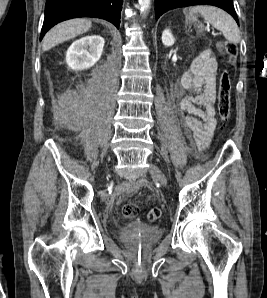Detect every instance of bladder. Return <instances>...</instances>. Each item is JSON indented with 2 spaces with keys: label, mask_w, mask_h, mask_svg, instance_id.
<instances>
[{
  "label": "bladder",
  "mask_w": 267,
  "mask_h": 298,
  "mask_svg": "<svg viewBox=\"0 0 267 298\" xmlns=\"http://www.w3.org/2000/svg\"><path fill=\"white\" fill-rule=\"evenodd\" d=\"M162 233L159 227L128 225L121 229L120 238L127 244L148 248L159 241Z\"/></svg>",
  "instance_id": "bladder-1"
}]
</instances>
